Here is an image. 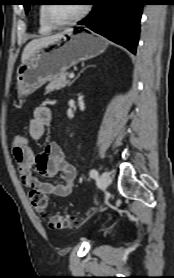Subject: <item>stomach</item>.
I'll list each match as a JSON object with an SVG mask.
<instances>
[{
  "mask_svg": "<svg viewBox=\"0 0 174 278\" xmlns=\"http://www.w3.org/2000/svg\"><path fill=\"white\" fill-rule=\"evenodd\" d=\"M107 46L108 42L99 35L70 30L56 41L36 49L17 69L19 96L33 93L77 63L100 55Z\"/></svg>",
  "mask_w": 174,
  "mask_h": 278,
  "instance_id": "obj_1",
  "label": "stomach"
}]
</instances>
